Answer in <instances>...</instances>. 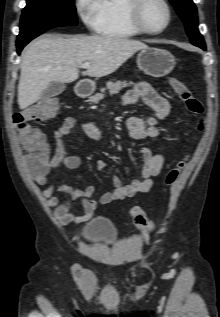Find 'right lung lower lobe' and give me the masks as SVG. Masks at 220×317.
<instances>
[{
	"label": "right lung lower lobe",
	"mask_w": 220,
	"mask_h": 317,
	"mask_svg": "<svg viewBox=\"0 0 220 317\" xmlns=\"http://www.w3.org/2000/svg\"><path fill=\"white\" fill-rule=\"evenodd\" d=\"M45 31H47V30L40 31V32L34 34L33 36H31V37L25 39V40H22V41L17 42V53L20 54L22 48H23L27 43H29L32 39H34L35 37H37L38 35L42 34V33L45 32Z\"/></svg>",
	"instance_id": "98d812e1"
}]
</instances>
